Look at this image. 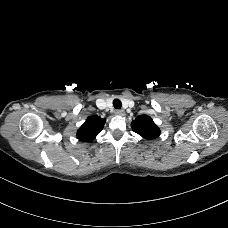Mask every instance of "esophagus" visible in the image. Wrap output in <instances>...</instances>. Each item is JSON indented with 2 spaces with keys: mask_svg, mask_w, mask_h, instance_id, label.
Here are the masks:
<instances>
[{
  "mask_svg": "<svg viewBox=\"0 0 228 228\" xmlns=\"http://www.w3.org/2000/svg\"><path fill=\"white\" fill-rule=\"evenodd\" d=\"M115 114H116L117 116H124V115H125V112H124L123 110H116V111H115Z\"/></svg>",
  "mask_w": 228,
  "mask_h": 228,
  "instance_id": "34e87169",
  "label": "esophagus"
}]
</instances>
